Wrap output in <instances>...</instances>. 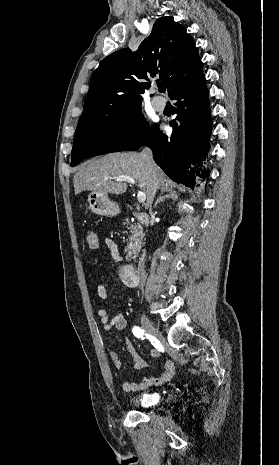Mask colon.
<instances>
[{"label": "colon", "mask_w": 279, "mask_h": 465, "mask_svg": "<svg viewBox=\"0 0 279 465\" xmlns=\"http://www.w3.org/2000/svg\"><path fill=\"white\" fill-rule=\"evenodd\" d=\"M85 239L91 249H97L100 245L101 235L97 230H89Z\"/></svg>", "instance_id": "1"}]
</instances>
